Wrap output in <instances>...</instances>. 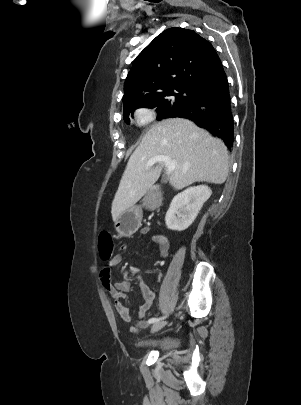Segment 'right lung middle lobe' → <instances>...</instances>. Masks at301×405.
<instances>
[{"instance_id":"right-lung-middle-lobe-1","label":"right lung middle lobe","mask_w":301,"mask_h":405,"mask_svg":"<svg viewBox=\"0 0 301 405\" xmlns=\"http://www.w3.org/2000/svg\"><path fill=\"white\" fill-rule=\"evenodd\" d=\"M199 94L200 92L195 90L179 88L149 96L145 98L138 107L128 111H124V121L129 124V114L132 113L131 116H133V112L140 107H157V119L166 118L175 110L191 103ZM170 96H174V98H171Z\"/></svg>"}]
</instances>
